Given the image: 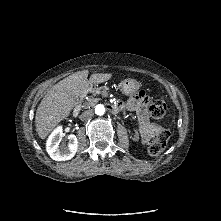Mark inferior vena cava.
<instances>
[{
	"mask_svg": "<svg viewBox=\"0 0 221 221\" xmlns=\"http://www.w3.org/2000/svg\"><path fill=\"white\" fill-rule=\"evenodd\" d=\"M94 115V112L93 110H86L84 112H82V114L80 115V119L82 121H87L89 120L90 118H92Z\"/></svg>",
	"mask_w": 221,
	"mask_h": 221,
	"instance_id": "1",
	"label": "inferior vena cava"
}]
</instances>
